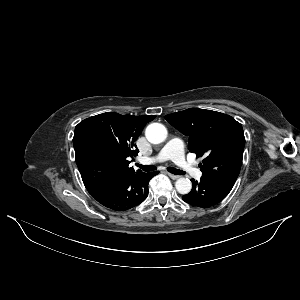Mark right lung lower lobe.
I'll return each mask as SVG.
<instances>
[{"mask_svg": "<svg viewBox=\"0 0 300 300\" xmlns=\"http://www.w3.org/2000/svg\"><path fill=\"white\" fill-rule=\"evenodd\" d=\"M158 172L141 171L128 174L112 182L87 188L100 204L114 211L131 209L148 196V183Z\"/></svg>", "mask_w": 300, "mask_h": 300, "instance_id": "right-lung-lower-lobe-1", "label": "right lung lower lobe"}]
</instances>
